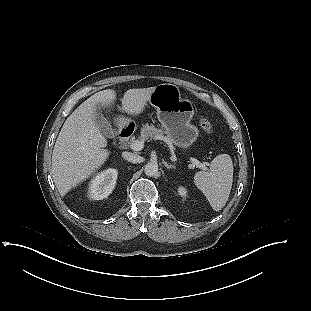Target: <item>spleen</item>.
<instances>
[{
    "mask_svg": "<svg viewBox=\"0 0 311 311\" xmlns=\"http://www.w3.org/2000/svg\"><path fill=\"white\" fill-rule=\"evenodd\" d=\"M208 171L197 172L194 183L215 211L221 210L229 197L233 181V164L228 154L216 156Z\"/></svg>",
    "mask_w": 311,
    "mask_h": 311,
    "instance_id": "1",
    "label": "spleen"
}]
</instances>
